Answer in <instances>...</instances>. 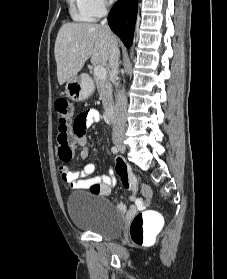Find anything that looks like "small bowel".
Segmentation results:
<instances>
[{
	"label": "small bowel",
	"instance_id": "1",
	"mask_svg": "<svg viewBox=\"0 0 227 279\" xmlns=\"http://www.w3.org/2000/svg\"><path fill=\"white\" fill-rule=\"evenodd\" d=\"M87 118L85 121V127H89L94 123H99L101 121L100 114L95 109H90L86 112ZM74 138L76 143L81 147L79 153V160L84 161L89 157L90 151L87 147V138L84 131L79 134H75ZM96 164L90 162L80 171H72L67 166L59 167V174L64 183H66L70 188L81 189V188H90L92 184H98L100 186L99 192L104 195H109L111 190L116 186L117 179L115 176H104V177H94L96 171ZM128 171L126 173L119 174L121 178L122 185L132 190L133 192L140 191L141 197L136 198L135 204L128 206L122 202L113 200L117 203V207L122 212L135 213L136 211L143 209L150 205L152 199L151 189L142 185L141 187L137 186V181L132 173V171L127 167ZM113 173V172H112Z\"/></svg>",
	"mask_w": 227,
	"mask_h": 279
}]
</instances>
